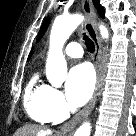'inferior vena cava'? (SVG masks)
<instances>
[{
    "label": "inferior vena cava",
    "instance_id": "602c4592",
    "mask_svg": "<svg viewBox=\"0 0 136 136\" xmlns=\"http://www.w3.org/2000/svg\"><path fill=\"white\" fill-rule=\"evenodd\" d=\"M70 110H71L72 112H74V111H75V108H70Z\"/></svg>",
    "mask_w": 136,
    "mask_h": 136
}]
</instances>
